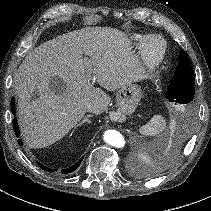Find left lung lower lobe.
<instances>
[{"label":"left lung lower lobe","mask_w":211,"mask_h":211,"mask_svg":"<svg viewBox=\"0 0 211 211\" xmlns=\"http://www.w3.org/2000/svg\"><path fill=\"white\" fill-rule=\"evenodd\" d=\"M190 122L189 116L188 115H184L181 119V124L182 126H187Z\"/></svg>","instance_id":"0a47b994"}]
</instances>
